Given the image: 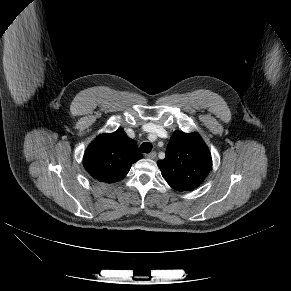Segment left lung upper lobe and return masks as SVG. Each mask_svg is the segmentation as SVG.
<instances>
[{
	"instance_id": "obj_1",
	"label": "left lung upper lobe",
	"mask_w": 291,
	"mask_h": 291,
	"mask_svg": "<svg viewBox=\"0 0 291 291\" xmlns=\"http://www.w3.org/2000/svg\"><path fill=\"white\" fill-rule=\"evenodd\" d=\"M158 166L172 188L193 190L210 172L212 158L198 133L175 131L167 146L166 157L158 161Z\"/></svg>"
}]
</instances>
